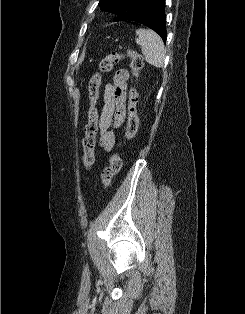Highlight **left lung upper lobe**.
Returning a JSON list of instances; mask_svg holds the SVG:
<instances>
[{
  "mask_svg": "<svg viewBox=\"0 0 245 314\" xmlns=\"http://www.w3.org/2000/svg\"><path fill=\"white\" fill-rule=\"evenodd\" d=\"M145 0H100L99 7L118 15L115 21L129 20L141 8Z\"/></svg>",
  "mask_w": 245,
  "mask_h": 314,
  "instance_id": "5c2ea615",
  "label": "left lung upper lobe"
}]
</instances>
